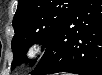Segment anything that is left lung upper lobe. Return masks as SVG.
<instances>
[{"mask_svg": "<svg viewBox=\"0 0 102 75\" xmlns=\"http://www.w3.org/2000/svg\"><path fill=\"white\" fill-rule=\"evenodd\" d=\"M82 0H18L13 19L14 59L11 69L20 64L27 49L35 43L46 46L48 40Z\"/></svg>", "mask_w": 102, "mask_h": 75, "instance_id": "obj_1", "label": "left lung upper lobe"}]
</instances>
